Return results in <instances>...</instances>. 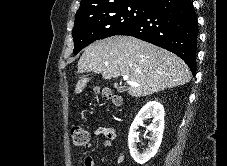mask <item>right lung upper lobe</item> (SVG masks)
<instances>
[{"label":"right lung upper lobe","mask_w":227,"mask_h":166,"mask_svg":"<svg viewBox=\"0 0 227 166\" xmlns=\"http://www.w3.org/2000/svg\"><path fill=\"white\" fill-rule=\"evenodd\" d=\"M154 1L155 0H81L80 8L78 9L76 14L126 3H139L150 6Z\"/></svg>","instance_id":"1"}]
</instances>
